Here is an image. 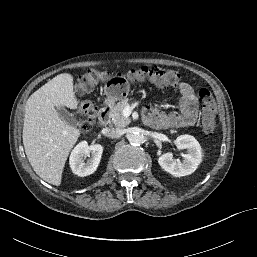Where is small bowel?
Segmentation results:
<instances>
[{
    "mask_svg": "<svg viewBox=\"0 0 257 257\" xmlns=\"http://www.w3.org/2000/svg\"><path fill=\"white\" fill-rule=\"evenodd\" d=\"M180 92L179 112L163 113L153 108L145 111V121L156 128L174 129L195 124L198 117V101L195 88L186 82L177 85Z\"/></svg>",
    "mask_w": 257,
    "mask_h": 257,
    "instance_id": "1",
    "label": "small bowel"
}]
</instances>
